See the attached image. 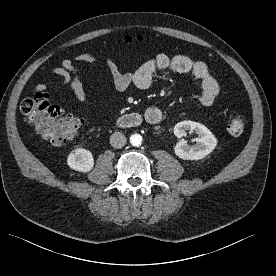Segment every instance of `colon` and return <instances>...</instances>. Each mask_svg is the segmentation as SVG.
Returning a JSON list of instances; mask_svg holds the SVG:
<instances>
[{
    "mask_svg": "<svg viewBox=\"0 0 276 276\" xmlns=\"http://www.w3.org/2000/svg\"><path fill=\"white\" fill-rule=\"evenodd\" d=\"M123 41L126 45H131L141 41V37L129 35L125 36ZM20 110L34 132L54 145H62L72 140L81 128L80 119L63 116L60 108L50 104L49 95L46 92H36L33 97L24 99ZM245 126L246 121L242 116H233L227 130L232 136H240Z\"/></svg>",
    "mask_w": 276,
    "mask_h": 276,
    "instance_id": "5ec220e1",
    "label": "colon"
}]
</instances>
